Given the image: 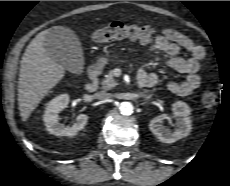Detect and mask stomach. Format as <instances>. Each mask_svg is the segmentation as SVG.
Segmentation results:
<instances>
[{
	"mask_svg": "<svg viewBox=\"0 0 230 186\" xmlns=\"http://www.w3.org/2000/svg\"><path fill=\"white\" fill-rule=\"evenodd\" d=\"M106 62H107L106 59H102V60H101V63H106Z\"/></svg>",
	"mask_w": 230,
	"mask_h": 186,
	"instance_id": "obj_1",
	"label": "stomach"
}]
</instances>
